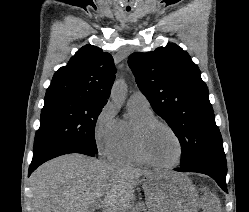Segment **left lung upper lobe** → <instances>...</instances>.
<instances>
[{
	"label": "left lung upper lobe",
	"mask_w": 249,
	"mask_h": 212,
	"mask_svg": "<svg viewBox=\"0 0 249 212\" xmlns=\"http://www.w3.org/2000/svg\"><path fill=\"white\" fill-rule=\"evenodd\" d=\"M128 64L153 110L178 137L181 166L223 150L208 88L186 51L169 43L152 52L131 54Z\"/></svg>",
	"instance_id": "left-lung-upper-lobe-1"
}]
</instances>
